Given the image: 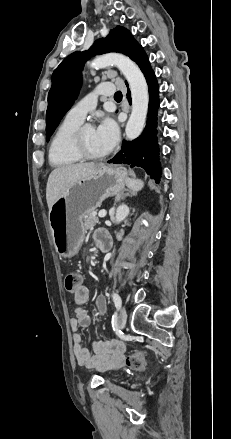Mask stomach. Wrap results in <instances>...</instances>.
<instances>
[{
  "label": "stomach",
  "instance_id": "obj_1",
  "mask_svg": "<svg viewBox=\"0 0 231 439\" xmlns=\"http://www.w3.org/2000/svg\"><path fill=\"white\" fill-rule=\"evenodd\" d=\"M128 176L123 167L104 165L95 174L70 187L49 210V224L56 252L63 258L75 256L83 243L84 216L108 197L125 189Z\"/></svg>",
  "mask_w": 231,
  "mask_h": 439
}]
</instances>
